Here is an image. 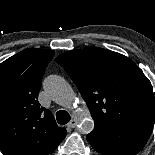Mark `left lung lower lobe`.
<instances>
[{"instance_id":"obj_1","label":"left lung lower lobe","mask_w":155,"mask_h":155,"mask_svg":"<svg viewBox=\"0 0 155 155\" xmlns=\"http://www.w3.org/2000/svg\"><path fill=\"white\" fill-rule=\"evenodd\" d=\"M152 128L153 123L95 125L87 140L102 155H135L145 146Z\"/></svg>"}]
</instances>
